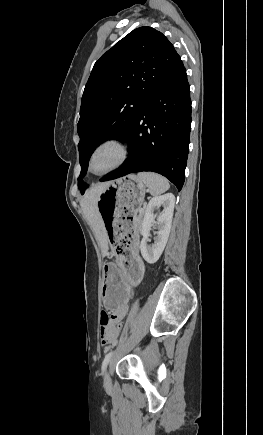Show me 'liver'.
<instances>
[{"label": "liver", "instance_id": "obj_1", "mask_svg": "<svg viewBox=\"0 0 263 435\" xmlns=\"http://www.w3.org/2000/svg\"><path fill=\"white\" fill-rule=\"evenodd\" d=\"M109 183L110 182H103L92 186L85 193L80 202L81 208L98 239L103 256H105L108 251V236L98 211L97 200Z\"/></svg>", "mask_w": 263, "mask_h": 435}]
</instances>
